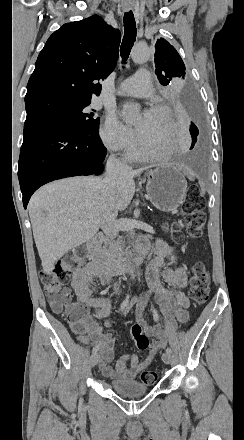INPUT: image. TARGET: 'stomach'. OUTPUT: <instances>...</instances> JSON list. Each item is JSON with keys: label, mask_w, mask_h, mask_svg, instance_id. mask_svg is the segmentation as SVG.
Returning <instances> with one entry per match:
<instances>
[{"label": "stomach", "mask_w": 244, "mask_h": 440, "mask_svg": "<svg viewBox=\"0 0 244 440\" xmlns=\"http://www.w3.org/2000/svg\"><path fill=\"white\" fill-rule=\"evenodd\" d=\"M147 198L157 210L173 212L183 204L187 194V180L176 166L166 164L147 174Z\"/></svg>", "instance_id": "stomach-1"}]
</instances>
